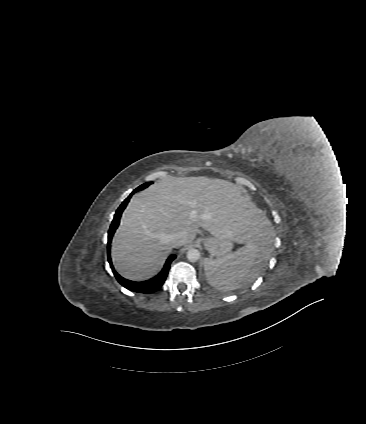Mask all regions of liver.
Returning <instances> with one entry per match:
<instances>
[{"mask_svg": "<svg viewBox=\"0 0 366 424\" xmlns=\"http://www.w3.org/2000/svg\"><path fill=\"white\" fill-rule=\"evenodd\" d=\"M200 227L238 244L270 241V224L240 186L205 176L177 177L131 198L112 241L115 268L126 279L145 280L172 251V234L185 231V245Z\"/></svg>", "mask_w": 366, "mask_h": 424, "instance_id": "6515ba94", "label": "liver"}]
</instances>
